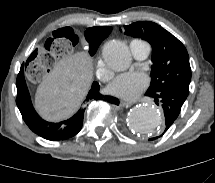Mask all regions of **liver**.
<instances>
[{
    "instance_id": "1",
    "label": "liver",
    "mask_w": 215,
    "mask_h": 183,
    "mask_svg": "<svg viewBox=\"0 0 215 183\" xmlns=\"http://www.w3.org/2000/svg\"><path fill=\"white\" fill-rule=\"evenodd\" d=\"M92 80V60L86 52L58 61L37 88L36 110L48 121L70 117L86 97Z\"/></svg>"
}]
</instances>
